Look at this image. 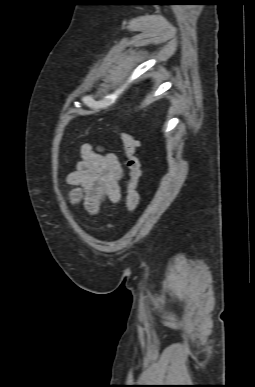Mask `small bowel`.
<instances>
[{"mask_svg":"<svg viewBox=\"0 0 255 387\" xmlns=\"http://www.w3.org/2000/svg\"><path fill=\"white\" fill-rule=\"evenodd\" d=\"M80 155L75 170L67 176L68 184L74 186L70 199L95 215L104 200L114 204L120 201L123 168L114 153L104 152L89 143L81 146Z\"/></svg>","mask_w":255,"mask_h":387,"instance_id":"small-bowel-1","label":"small bowel"}]
</instances>
